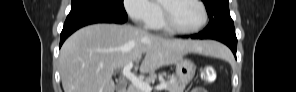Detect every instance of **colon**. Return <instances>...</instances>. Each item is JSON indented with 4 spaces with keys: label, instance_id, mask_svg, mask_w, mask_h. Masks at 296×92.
<instances>
[{
    "label": "colon",
    "instance_id": "1",
    "mask_svg": "<svg viewBox=\"0 0 296 92\" xmlns=\"http://www.w3.org/2000/svg\"><path fill=\"white\" fill-rule=\"evenodd\" d=\"M215 76V69L212 66H208L202 70V77L206 81H212ZM193 92H206L203 88L194 89Z\"/></svg>",
    "mask_w": 296,
    "mask_h": 92
}]
</instances>
